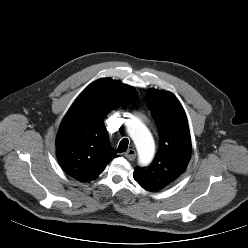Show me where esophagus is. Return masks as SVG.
Masks as SVG:
<instances>
[{"instance_id":"esophagus-1","label":"esophagus","mask_w":248,"mask_h":248,"mask_svg":"<svg viewBox=\"0 0 248 248\" xmlns=\"http://www.w3.org/2000/svg\"><path fill=\"white\" fill-rule=\"evenodd\" d=\"M124 156L130 160L133 161L136 158V151L134 149H129Z\"/></svg>"}]
</instances>
